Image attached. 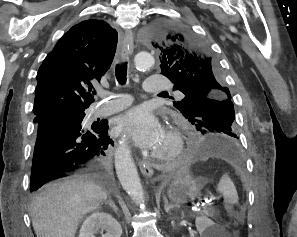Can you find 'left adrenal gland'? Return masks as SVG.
<instances>
[{
	"label": "left adrenal gland",
	"instance_id": "a2214340",
	"mask_svg": "<svg viewBox=\"0 0 297 237\" xmlns=\"http://www.w3.org/2000/svg\"><path fill=\"white\" fill-rule=\"evenodd\" d=\"M165 199V206H164V209H165V212L168 213L171 209H173L175 206L173 204H168V201Z\"/></svg>",
	"mask_w": 297,
	"mask_h": 237
}]
</instances>
